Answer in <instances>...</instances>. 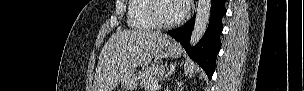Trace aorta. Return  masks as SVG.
<instances>
[{"instance_id": "obj_1", "label": "aorta", "mask_w": 304, "mask_h": 91, "mask_svg": "<svg viewBox=\"0 0 304 91\" xmlns=\"http://www.w3.org/2000/svg\"><path fill=\"white\" fill-rule=\"evenodd\" d=\"M211 12V0H198L196 18L190 38V46L194 47L201 40L207 29Z\"/></svg>"}]
</instances>
